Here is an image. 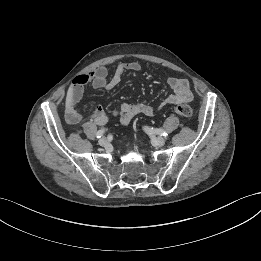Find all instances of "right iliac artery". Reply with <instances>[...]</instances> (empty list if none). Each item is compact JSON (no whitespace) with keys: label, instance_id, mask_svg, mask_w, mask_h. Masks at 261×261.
Wrapping results in <instances>:
<instances>
[{"label":"right iliac artery","instance_id":"82829eb1","mask_svg":"<svg viewBox=\"0 0 261 261\" xmlns=\"http://www.w3.org/2000/svg\"><path fill=\"white\" fill-rule=\"evenodd\" d=\"M104 132H105V129H104V128L101 129V130H99V131L96 133V138H101V136L104 134Z\"/></svg>","mask_w":261,"mask_h":261}]
</instances>
